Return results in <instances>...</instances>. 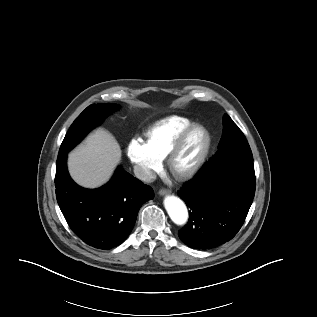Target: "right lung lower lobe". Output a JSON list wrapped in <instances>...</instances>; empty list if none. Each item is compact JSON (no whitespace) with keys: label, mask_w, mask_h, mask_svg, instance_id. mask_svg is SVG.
I'll return each instance as SVG.
<instances>
[{"label":"right lung lower lobe","mask_w":317,"mask_h":317,"mask_svg":"<svg viewBox=\"0 0 317 317\" xmlns=\"http://www.w3.org/2000/svg\"><path fill=\"white\" fill-rule=\"evenodd\" d=\"M67 153L56 163V198L72 231L90 246L108 250L130 234L137 214L153 199L151 187L120 167L104 186L90 190L75 184L66 166Z\"/></svg>","instance_id":"1"}]
</instances>
